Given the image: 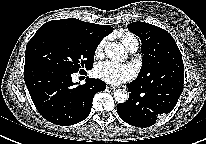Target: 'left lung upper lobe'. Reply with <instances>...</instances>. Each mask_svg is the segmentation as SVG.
<instances>
[{
	"label": "left lung upper lobe",
	"mask_w": 206,
	"mask_h": 144,
	"mask_svg": "<svg viewBox=\"0 0 206 144\" xmlns=\"http://www.w3.org/2000/svg\"><path fill=\"white\" fill-rule=\"evenodd\" d=\"M127 27L142 42V67L134 82L149 87L184 77L181 52L166 30L140 21Z\"/></svg>",
	"instance_id": "5c2ea615"
}]
</instances>
